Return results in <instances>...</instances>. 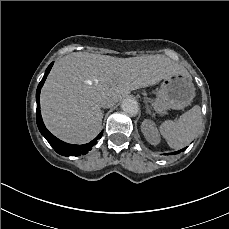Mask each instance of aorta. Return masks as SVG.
<instances>
[{"label":"aorta","mask_w":229,"mask_h":229,"mask_svg":"<svg viewBox=\"0 0 229 229\" xmlns=\"http://www.w3.org/2000/svg\"><path fill=\"white\" fill-rule=\"evenodd\" d=\"M121 108L125 113H127L131 116H136L139 112L138 102L132 98L124 99L122 101Z\"/></svg>","instance_id":"762f6f07"}]
</instances>
